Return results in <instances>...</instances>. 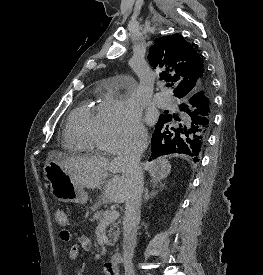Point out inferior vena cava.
I'll return each instance as SVG.
<instances>
[{
	"label": "inferior vena cava",
	"mask_w": 263,
	"mask_h": 275,
	"mask_svg": "<svg viewBox=\"0 0 263 275\" xmlns=\"http://www.w3.org/2000/svg\"><path fill=\"white\" fill-rule=\"evenodd\" d=\"M147 146V135H141L125 143L115 158L121 167L122 177L127 182L128 187L123 218V265L125 275H135L132 259L136 246L143 193V172L140 159Z\"/></svg>",
	"instance_id": "1"
}]
</instances>
